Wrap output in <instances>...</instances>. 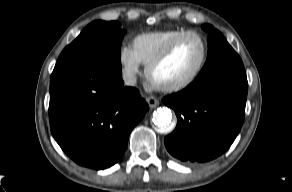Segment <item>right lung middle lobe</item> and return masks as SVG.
Returning a JSON list of instances; mask_svg holds the SVG:
<instances>
[{
    "instance_id": "right-lung-middle-lobe-1",
    "label": "right lung middle lobe",
    "mask_w": 292,
    "mask_h": 192,
    "mask_svg": "<svg viewBox=\"0 0 292 192\" xmlns=\"http://www.w3.org/2000/svg\"><path fill=\"white\" fill-rule=\"evenodd\" d=\"M124 34L116 21H94L62 51L58 61H99L121 71L120 45Z\"/></svg>"
}]
</instances>
